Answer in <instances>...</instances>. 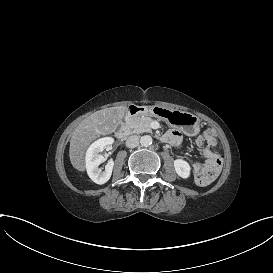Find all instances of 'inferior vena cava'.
Here are the masks:
<instances>
[{
  "mask_svg": "<svg viewBox=\"0 0 273 273\" xmlns=\"http://www.w3.org/2000/svg\"><path fill=\"white\" fill-rule=\"evenodd\" d=\"M125 145L128 148H135L139 145V138L137 135H131L125 141Z\"/></svg>",
  "mask_w": 273,
  "mask_h": 273,
  "instance_id": "obj_1",
  "label": "inferior vena cava"
}]
</instances>
